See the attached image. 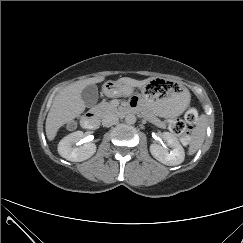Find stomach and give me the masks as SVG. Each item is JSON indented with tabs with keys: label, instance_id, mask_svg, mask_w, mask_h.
<instances>
[{
	"label": "stomach",
	"instance_id": "0dacf381",
	"mask_svg": "<svg viewBox=\"0 0 243 243\" xmlns=\"http://www.w3.org/2000/svg\"><path fill=\"white\" fill-rule=\"evenodd\" d=\"M125 87L126 85L119 81H108L103 90L107 95L118 96ZM141 96L152 113L164 118L181 115L190 103L188 89L175 82L154 80L151 84L142 86Z\"/></svg>",
	"mask_w": 243,
	"mask_h": 243
}]
</instances>
